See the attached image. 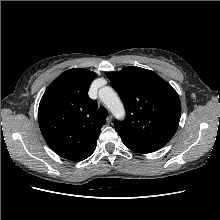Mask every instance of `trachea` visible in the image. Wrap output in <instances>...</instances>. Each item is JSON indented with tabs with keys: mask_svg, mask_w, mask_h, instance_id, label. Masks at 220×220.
Listing matches in <instances>:
<instances>
[{
	"mask_svg": "<svg viewBox=\"0 0 220 220\" xmlns=\"http://www.w3.org/2000/svg\"><path fill=\"white\" fill-rule=\"evenodd\" d=\"M98 114L102 117V118H107L108 116V111L105 107L101 106L98 108Z\"/></svg>",
	"mask_w": 220,
	"mask_h": 220,
	"instance_id": "1",
	"label": "trachea"
}]
</instances>
